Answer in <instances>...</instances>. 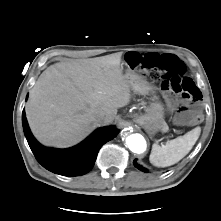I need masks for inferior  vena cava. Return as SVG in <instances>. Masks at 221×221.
I'll use <instances>...</instances> for the list:
<instances>
[{"instance_id": "inferior-vena-cava-1", "label": "inferior vena cava", "mask_w": 221, "mask_h": 221, "mask_svg": "<svg viewBox=\"0 0 221 221\" xmlns=\"http://www.w3.org/2000/svg\"><path fill=\"white\" fill-rule=\"evenodd\" d=\"M104 118H105V115H104V113H98L97 115H96V119H97V121L98 122H102L103 120H104Z\"/></svg>"}]
</instances>
